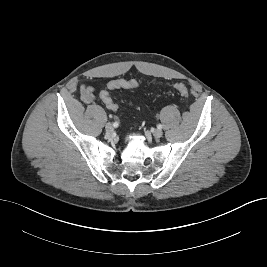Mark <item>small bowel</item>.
Listing matches in <instances>:
<instances>
[{
	"label": "small bowel",
	"mask_w": 267,
	"mask_h": 267,
	"mask_svg": "<svg viewBox=\"0 0 267 267\" xmlns=\"http://www.w3.org/2000/svg\"><path fill=\"white\" fill-rule=\"evenodd\" d=\"M81 98L85 103H92L95 100V95L91 87L83 86L81 88Z\"/></svg>",
	"instance_id": "small-bowel-1"
}]
</instances>
